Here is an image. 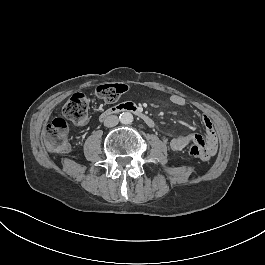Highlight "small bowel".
Listing matches in <instances>:
<instances>
[{
    "label": "small bowel",
    "instance_id": "1",
    "mask_svg": "<svg viewBox=\"0 0 265 265\" xmlns=\"http://www.w3.org/2000/svg\"><path fill=\"white\" fill-rule=\"evenodd\" d=\"M170 101L178 107H184L187 104L186 100L180 95H172L170 97ZM200 119L204 127V132L207 140L200 133H197L196 135H178L170 141V148L173 151H181L185 149L192 141L196 140L201 146L202 156L205 159H208L209 157L211 158L215 155L217 143L213 122L210 117L205 114L201 115Z\"/></svg>",
    "mask_w": 265,
    "mask_h": 265
}]
</instances>
